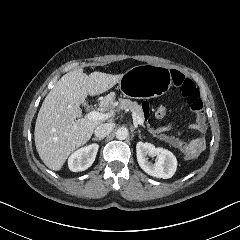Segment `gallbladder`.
I'll return each mask as SVG.
<instances>
[{"label": "gallbladder", "instance_id": "gallbladder-1", "mask_svg": "<svg viewBox=\"0 0 240 240\" xmlns=\"http://www.w3.org/2000/svg\"><path fill=\"white\" fill-rule=\"evenodd\" d=\"M83 105H84L82 108L83 112L86 114L89 113L91 110V105L89 103H84Z\"/></svg>", "mask_w": 240, "mask_h": 240}]
</instances>
